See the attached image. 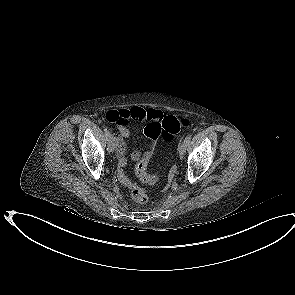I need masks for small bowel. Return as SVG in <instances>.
<instances>
[{"mask_svg": "<svg viewBox=\"0 0 295 295\" xmlns=\"http://www.w3.org/2000/svg\"><path fill=\"white\" fill-rule=\"evenodd\" d=\"M107 118L110 122L116 124L117 129L121 135L117 139V152L119 158V164L121 167L116 169L117 181L122 183L124 187H129L131 185V180L127 178L125 174V169L123 166L126 164V156H127V142L126 139L130 136V129L127 125L129 120L134 121H143L147 120L150 122H158L164 118V115L161 111L156 109H144L141 107H134L129 110H113L107 114ZM150 141V139H149ZM141 157V152L139 150H135L131 152L130 158L134 161L139 160Z\"/></svg>", "mask_w": 295, "mask_h": 295, "instance_id": "small-bowel-1", "label": "small bowel"}]
</instances>
